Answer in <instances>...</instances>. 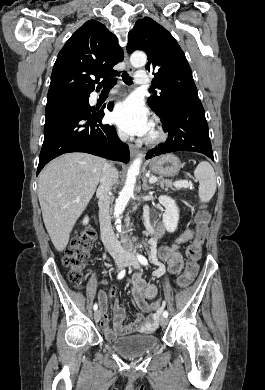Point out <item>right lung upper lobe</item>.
Wrapping results in <instances>:
<instances>
[{"mask_svg": "<svg viewBox=\"0 0 265 390\" xmlns=\"http://www.w3.org/2000/svg\"><path fill=\"white\" fill-rule=\"evenodd\" d=\"M118 40L95 20L84 23L65 43L54 64L47 101L90 94L103 85L100 78L115 75L113 66L123 61Z\"/></svg>", "mask_w": 265, "mask_h": 390, "instance_id": "1", "label": "right lung upper lobe"}]
</instances>
